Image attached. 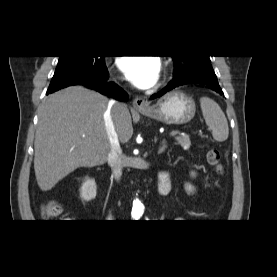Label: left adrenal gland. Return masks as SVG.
I'll return each mask as SVG.
<instances>
[{
  "label": "left adrenal gland",
  "mask_w": 277,
  "mask_h": 277,
  "mask_svg": "<svg viewBox=\"0 0 277 277\" xmlns=\"http://www.w3.org/2000/svg\"><path fill=\"white\" fill-rule=\"evenodd\" d=\"M157 141V139L155 138V142ZM165 148H166V144L164 141H162L161 143V147L159 148V151H158V154H161L162 152L165 151Z\"/></svg>",
  "instance_id": "1"
}]
</instances>
